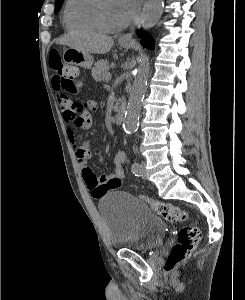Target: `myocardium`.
Instances as JSON below:
<instances>
[{
	"mask_svg": "<svg viewBox=\"0 0 245 300\" xmlns=\"http://www.w3.org/2000/svg\"><path fill=\"white\" fill-rule=\"evenodd\" d=\"M103 0H94V3L92 5V18L97 27L102 31L106 33H114L118 32L124 28H126L132 21L133 17H130L127 21L124 23L117 25V26H109L105 23L102 13H101V4Z\"/></svg>",
	"mask_w": 245,
	"mask_h": 300,
	"instance_id": "1",
	"label": "myocardium"
}]
</instances>
